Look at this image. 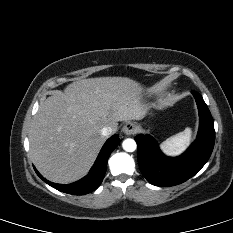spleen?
I'll list each match as a JSON object with an SVG mask.
<instances>
[{
  "label": "spleen",
  "mask_w": 233,
  "mask_h": 233,
  "mask_svg": "<svg viewBox=\"0 0 233 233\" xmlns=\"http://www.w3.org/2000/svg\"><path fill=\"white\" fill-rule=\"evenodd\" d=\"M191 139L192 130L187 127L184 131L179 132L162 142L160 149L167 155H179L189 146Z\"/></svg>",
  "instance_id": "spleen-1"
}]
</instances>
